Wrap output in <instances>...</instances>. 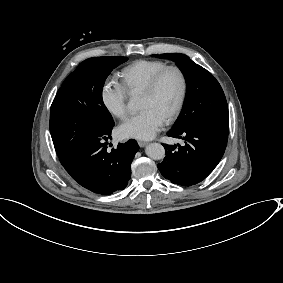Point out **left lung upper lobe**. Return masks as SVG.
<instances>
[{
	"label": "left lung upper lobe",
	"instance_id": "5c2ea615",
	"mask_svg": "<svg viewBox=\"0 0 283 283\" xmlns=\"http://www.w3.org/2000/svg\"><path fill=\"white\" fill-rule=\"evenodd\" d=\"M154 56L174 61L183 72L187 83L183 109L171 130L180 131L198 125L228 123V105L224 92L211 73L184 54Z\"/></svg>",
	"mask_w": 283,
	"mask_h": 283
}]
</instances>
